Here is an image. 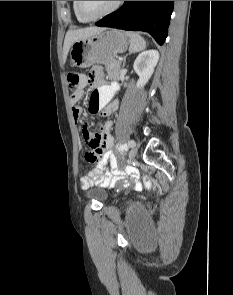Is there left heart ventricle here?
Instances as JSON below:
<instances>
[{
    "mask_svg": "<svg viewBox=\"0 0 233 295\" xmlns=\"http://www.w3.org/2000/svg\"><path fill=\"white\" fill-rule=\"evenodd\" d=\"M116 1H81L84 13L90 16L99 15L110 9Z\"/></svg>",
    "mask_w": 233,
    "mask_h": 295,
    "instance_id": "left-heart-ventricle-1",
    "label": "left heart ventricle"
}]
</instances>
